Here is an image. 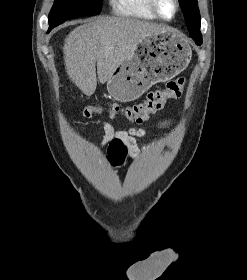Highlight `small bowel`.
Here are the masks:
<instances>
[{
	"label": "small bowel",
	"mask_w": 247,
	"mask_h": 280,
	"mask_svg": "<svg viewBox=\"0 0 247 280\" xmlns=\"http://www.w3.org/2000/svg\"><path fill=\"white\" fill-rule=\"evenodd\" d=\"M170 124L171 122L169 120H165L160 124V126L167 127ZM103 129L104 136L100 142L101 146L111 143L113 140H119L124 144L131 158H137L139 154V148L136 145V138L143 137L145 135L144 129L130 128L128 130H117L109 122L103 123Z\"/></svg>",
	"instance_id": "c3829d8e"
}]
</instances>
